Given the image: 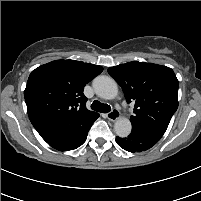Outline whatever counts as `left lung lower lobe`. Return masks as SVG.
<instances>
[{"label":"left lung lower lobe","instance_id":"obj_1","mask_svg":"<svg viewBox=\"0 0 201 201\" xmlns=\"http://www.w3.org/2000/svg\"><path fill=\"white\" fill-rule=\"evenodd\" d=\"M164 133L156 129L132 128V133L128 137H116V142L126 151L142 152L154 146Z\"/></svg>","mask_w":201,"mask_h":201}]
</instances>
